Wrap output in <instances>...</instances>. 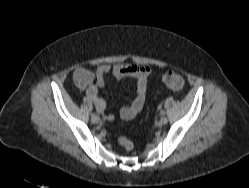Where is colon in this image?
<instances>
[{
	"mask_svg": "<svg viewBox=\"0 0 249 188\" xmlns=\"http://www.w3.org/2000/svg\"><path fill=\"white\" fill-rule=\"evenodd\" d=\"M162 81L167 87H169L174 91L181 90L184 85L183 77L179 73L174 71L165 72L162 76ZM117 141L125 149L127 150L133 149V143L129 139L125 137H120L118 138Z\"/></svg>",
	"mask_w": 249,
	"mask_h": 188,
	"instance_id": "5ec220e1",
	"label": "colon"
}]
</instances>
